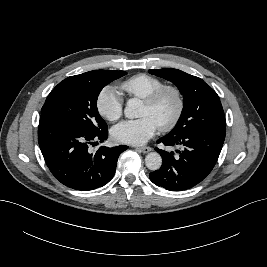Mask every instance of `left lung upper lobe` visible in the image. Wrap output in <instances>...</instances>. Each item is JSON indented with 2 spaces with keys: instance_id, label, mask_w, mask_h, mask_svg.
<instances>
[{
  "instance_id": "left-lung-upper-lobe-1",
  "label": "left lung upper lobe",
  "mask_w": 267,
  "mask_h": 267,
  "mask_svg": "<svg viewBox=\"0 0 267 267\" xmlns=\"http://www.w3.org/2000/svg\"><path fill=\"white\" fill-rule=\"evenodd\" d=\"M149 73L171 81L183 95L182 114L167 136L176 137L197 130L226 129L220 99L202 79L178 69H151Z\"/></svg>"
}]
</instances>
